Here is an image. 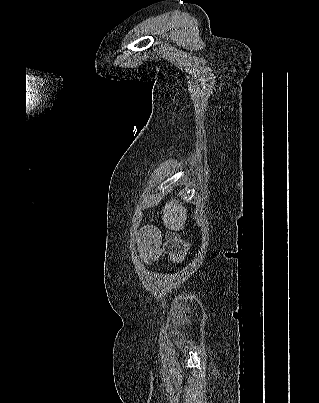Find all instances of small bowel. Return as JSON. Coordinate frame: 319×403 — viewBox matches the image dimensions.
<instances>
[{
	"mask_svg": "<svg viewBox=\"0 0 319 403\" xmlns=\"http://www.w3.org/2000/svg\"><path fill=\"white\" fill-rule=\"evenodd\" d=\"M140 255L146 260V263H148V258H149V250L148 248H141V253Z\"/></svg>",
	"mask_w": 319,
	"mask_h": 403,
	"instance_id": "c3829d8e",
	"label": "small bowel"
}]
</instances>
